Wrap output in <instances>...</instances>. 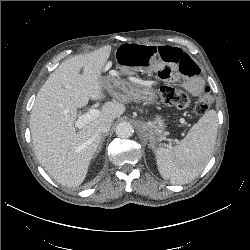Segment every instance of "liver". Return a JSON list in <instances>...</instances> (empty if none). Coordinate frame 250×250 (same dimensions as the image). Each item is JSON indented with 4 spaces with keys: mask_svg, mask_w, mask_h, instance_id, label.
Wrapping results in <instances>:
<instances>
[{
    "mask_svg": "<svg viewBox=\"0 0 250 250\" xmlns=\"http://www.w3.org/2000/svg\"><path fill=\"white\" fill-rule=\"evenodd\" d=\"M110 53L107 45L64 61L44 83L31 110L36 157L55 181L70 188L81 185L87 175L101 141L100 123L114 121L125 112L122 104L106 102L96 118L79 131L75 128L77 109L89 99L105 98L102 71Z\"/></svg>",
    "mask_w": 250,
    "mask_h": 250,
    "instance_id": "obj_1",
    "label": "liver"
}]
</instances>
